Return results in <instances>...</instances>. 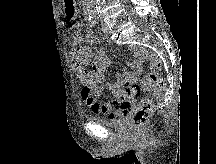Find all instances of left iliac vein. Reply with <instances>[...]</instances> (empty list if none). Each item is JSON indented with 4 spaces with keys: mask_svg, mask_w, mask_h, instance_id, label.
Wrapping results in <instances>:
<instances>
[{
    "mask_svg": "<svg viewBox=\"0 0 216 164\" xmlns=\"http://www.w3.org/2000/svg\"><path fill=\"white\" fill-rule=\"evenodd\" d=\"M101 29L105 33L108 32V26H107V24L105 22H101Z\"/></svg>",
    "mask_w": 216,
    "mask_h": 164,
    "instance_id": "1",
    "label": "left iliac vein"
}]
</instances>
